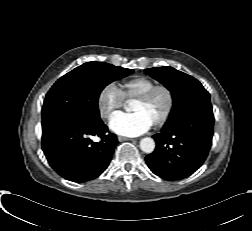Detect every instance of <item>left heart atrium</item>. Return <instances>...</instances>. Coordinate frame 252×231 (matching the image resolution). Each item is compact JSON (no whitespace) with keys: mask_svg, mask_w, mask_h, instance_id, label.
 Returning a JSON list of instances; mask_svg holds the SVG:
<instances>
[{"mask_svg":"<svg viewBox=\"0 0 252 231\" xmlns=\"http://www.w3.org/2000/svg\"><path fill=\"white\" fill-rule=\"evenodd\" d=\"M153 122L142 112L118 113L111 117L110 129L121 136L136 137L146 133Z\"/></svg>","mask_w":252,"mask_h":231,"instance_id":"1","label":"left heart atrium"}]
</instances>
